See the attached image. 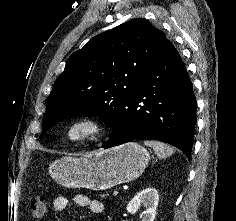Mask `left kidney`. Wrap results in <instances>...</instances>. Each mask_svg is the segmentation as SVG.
Instances as JSON below:
<instances>
[{"label":"left kidney","instance_id":"1","mask_svg":"<svg viewBox=\"0 0 236 221\" xmlns=\"http://www.w3.org/2000/svg\"><path fill=\"white\" fill-rule=\"evenodd\" d=\"M159 195L155 188H145L139 192L127 205V211L135 214L141 206L146 209L141 213L142 221H154Z\"/></svg>","mask_w":236,"mask_h":221}]
</instances>
